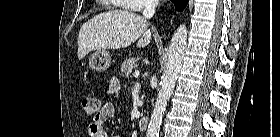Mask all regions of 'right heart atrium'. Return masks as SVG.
Returning a JSON list of instances; mask_svg holds the SVG:
<instances>
[{"instance_id": "1", "label": "right heart atrium", "mask_w": 280, "mask_h": 137, "mask_svg": "<svg viewBox=\"0 0 280 137\" xmlns=\"http://www.w3.org/2000/svg\"><path fill=\"white\" fill-rule=\"evenodd\" d=\"M134 2L139 10L147 9L153 5L152 0H134Z\"/></svg>"}]
</instances>
